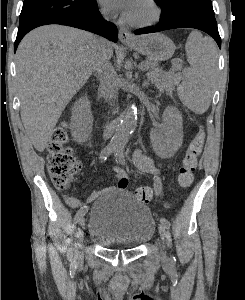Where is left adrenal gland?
Returning <instances> with one entry per match:
<instances>
[{"mask_svg":"<svg viewBox=\"0 0 245 300\" xmlns=\"http://www.w3.org/2000/svg\"><path fill=\"white\" fill-rule=\"evenodd\" d=\"M148 85H149V82H148V81H144V82H143V87H148Z\"/></svg>","mask_w":245,"mask_h":300,"instance_id":"a2214340","label":"left adrenal gland"}]
</instances>
